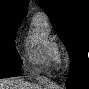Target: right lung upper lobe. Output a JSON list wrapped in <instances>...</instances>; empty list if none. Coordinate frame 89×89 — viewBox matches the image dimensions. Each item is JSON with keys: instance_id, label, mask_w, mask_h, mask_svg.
I'll return each mask as SVG.
<instances>
[{"instance_id": "1", "label": "right lung upper lobe", "mask_w": 89, "mask_h": 89, "mask_svg": "<svg viewBox=\"0 0 89 89\" xmlns=\"http://www.w3.org/2000/svg\"><path fill=\"white\" fill-rule=\"evenodd\" d=\"M29 0H0V17L21 21L28 9Z\"/></svg>"}]
</instances>
